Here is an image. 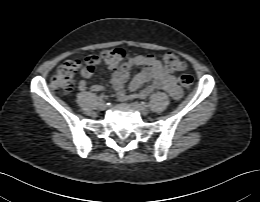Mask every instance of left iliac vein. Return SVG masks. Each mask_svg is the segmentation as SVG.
I'll use <instances>...</instances> for the list:
<instances>
[{
    "instance_id": "left-iliac-vein-1",
    "label": "left iliac vein",
    "mask_w": 260,
    "mask_h": 202,
    "mask_svg": "<svg viewBox=\"0 0 260 202\" xmlns=\"http://www.w3.org/2000/svg\"><path fill=\"white\" fill-rule=\"evenodd\" d=\"M133 108L136 109L137 111H139L141 114L143 115H147L149 113V109L147 108V106L140 104V103H133L132 104Z\"/></svg>"
}]
</instances>
